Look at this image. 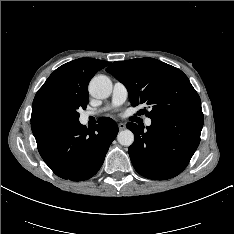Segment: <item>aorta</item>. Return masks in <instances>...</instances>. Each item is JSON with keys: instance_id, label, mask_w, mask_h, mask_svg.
Returning a JSON list of instances; mask_svg holds the SVG:
<instances>
[{"instance_id": "762f6f07", "label": "aorta", "mask_w": 234, "mask_h": 234, "mask_svg": "<svg viewBox=\"0 0 234 234\" xmlns=\"http://www.w3.org/2000/svg\"><path fill=\"white\" fill-rule=\"evenodd\" d=\"M89 91L95 98H107L112 92V82L107 76H95L90 81ZM117 140L123 146H130L134 142V134L128 129L120 131Z\"/></svg>"}]
</instances>
